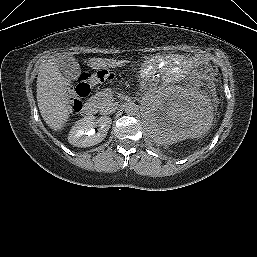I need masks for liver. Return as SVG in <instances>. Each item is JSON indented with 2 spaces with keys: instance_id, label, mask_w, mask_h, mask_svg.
I'll list each match as a JSON object with an SVG mask.
<instances>
[{
  "instance_id": "6515ba94",
  "label": "liver",
  "mask_w": 257,
  "mask_h": 257,
  "mask_svg": "<svg viewBox=\"0 0 257 257\" xmlns=\"http://www.w3.org/2000/svg\"><path fill=\"white\" fill-rule=\"evenodd\" d=\"M68 54L72 55L71 53ZM126 63L125 60L95 57L88 60V66L92 69L115 68ZM36 92L38 107L43 120L52 130H62L71 113L70 90L68 82L55 63V57L49 58L40 65Z\"/></svg>"
}]
</instances>
